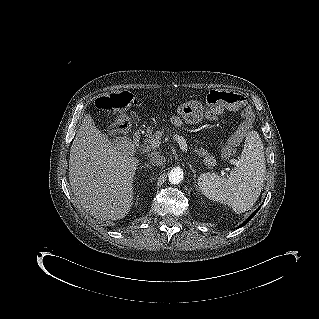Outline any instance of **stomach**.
<instances>
[{"instance_id":"obj_1","label":"stomach","mask_w":319,"mask_h":319,"mask_svg":"<svg viewBox=\"0 0 319 319\" xmlns=\"http://www.w3.org/2000/svg\"><path fill=\"white\" fill-rule=\"evenodd\" d=\"M203 108L192 102L185 103L180 106L179 114L184 121L189 124L200 123L204 117Z\"/></svg>"}]
</instances>
